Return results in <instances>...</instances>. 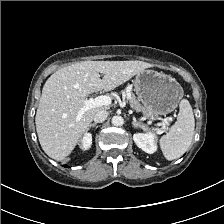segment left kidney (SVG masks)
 Returning a JSON list of instances; mask_svg holds the SVG:
<instances>
[{
  "mask_svg": "<svg viewBox=\"0 0 224 224\" xmlns=\"http://www.w3.org/2000/svg\"><path fill=\"white\" fill-rule=\"evenodd\" d=\"M133 140L146 153L153 154L157 151V136L151 132L135 133Z\"/></svg>",
  "mask_w": 224,
  "mask_h": 224,
  "instance_id": "5707ae66",
  "label": "left kidney"
}]
</instances>
